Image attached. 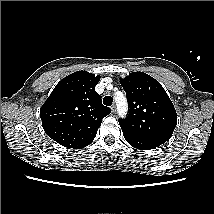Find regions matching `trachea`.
Here are the masks:
<instances>
[{
    "label": "trachea",
    "instance_id": "obj_1",
    "mask_svg": "<svg viewBox=\"0 0 214 214\" xmlns=\"http://www.w3.org/2000/svg\"><path fill=\"white\" fill-rule=\"evenodd\" d=\"M112 102H113V99H112L111 96H105V97L103 98V103H104V105H106V106H110V105L112 104Z\"/></svg>",
    "mask_w": 214,
    "mask_h": 214
}]
</instances>
